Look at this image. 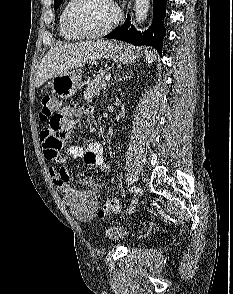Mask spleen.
I'll return each instance as SVG.
<instances>
[{"mask_svg": "<svg viewBox=\"0 0 233 294\" xmlns=\"http://www.w3.org/2000/svg\"><path fill=\"white\" fill-rule=\"evenodd\" d=\"M145 55H146V62L148 63H152L156 57L155 54L152 51H149L148 49H146Z\"/></svg>", "mask_w": 233, "mask_h": 294, "instance_id": "3e777b00", "label": "spleen"}]
</instances>
